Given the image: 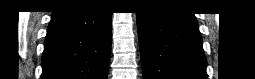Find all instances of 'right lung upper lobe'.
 I'll return each instance as SVG.
<instances>
[{
    "label": "right lung upper lobe",
    "mask_w": 255,
    "mask_h": 79,
    "mask_svg": "<svg viewBox=\"0 0 255 79\" xmlns=\"http://www.w3.org/2000/svg\"><path fill=\"white\" fill-rule=\"evenodd\" d=\"M87 1H84V0H69V1H64L62 2L63 5H73V4H78V3H85Z\"/></svg>",
    "instance_id": "cb5924a9"
}]
</instances>
